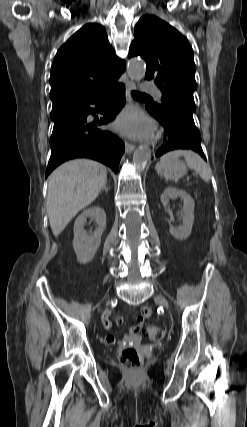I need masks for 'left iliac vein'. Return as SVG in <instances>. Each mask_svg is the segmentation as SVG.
<instances>
[{"label": "left iliac vein", "instance_id": "4c4485c4", "mask_svg": "<svg viewBox=\"0 0 247 427\" xmlns=\"http://www.w3.org/2000/svg\"><path fill=\"white\" fill-rule=\"evenodd\" d=\"M155 301L160 303L162 306H164L166 309H169V303L168 301L161 295L155 296Z\"/></svg>", "mask_w": 247, "mask_h": 427}]
</instances>
